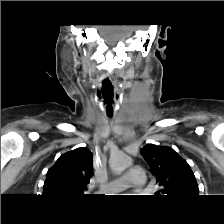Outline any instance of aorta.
<instances>
[{
    "label": "aorta",
    "instance_id": "aorta-1",
    "mask_svg": "<svg viewBox=\"0 0 224 224\" xmlns=\"http://www.w3.org/2000/svg\"><path fill=\"white\" fill-rule=\"evenodd\" d=\"M110 168L115 175H120L126 168L132 165V159L126 154H116L110 158Z\"/></svg>",
    "mask_w": 224,
    "mask_h": 224
}]
</instances>
